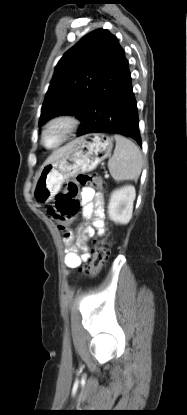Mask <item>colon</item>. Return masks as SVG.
<instances>
[{
	"instance_id": "1",
	"label": "colon",
	"mask_w": 187,
	"mask_h": 415,
	"mask_svg": "<svg viewBox=\"0 0 187 415\" xmlns=\"http://www.w3.org/2000/svg\"><path fill=\"white\" fill-rule=\"evenodd\" d=\"M79 186H91L97 189L103 188V180L100 176L81 174L76 182L69 183L62 192L57 194L55 208L48 209V214L58 224V227L65 234L70 233V221L79 211L77 199ZM109 254V242L106 239L96 243L93 255L88 262L86 272L95 275L106 265Z\"/></svg>"
}]
</instances>
